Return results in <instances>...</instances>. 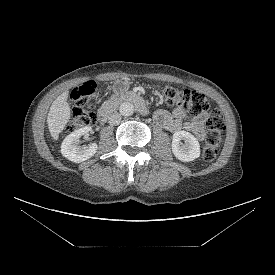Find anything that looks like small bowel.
<instances>
[{
	"label": "small bowel",
	"mask_w": 275,
	"mask_h": 275,
	"mask_svg": "<svg viewBox=\"0 0 275 275\" xmlns=\"http://www.w3.org/2000/svg\"><path fill=\"white\" fill-rule=\"evenodd\" d=\"M128 85L127 80L120 79L113 85V90L120 93L125 91ZM185 117L186 112L182 107H177L173 112L159 109L154 115L155 121L160 127L170 132H177L182 129L191 131L199 140H202L204 138V125L207 120V114L201 113L190 120H185Z\"/></svg>",
	"instance_id": "1"
}]
</instances>
